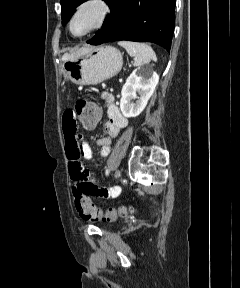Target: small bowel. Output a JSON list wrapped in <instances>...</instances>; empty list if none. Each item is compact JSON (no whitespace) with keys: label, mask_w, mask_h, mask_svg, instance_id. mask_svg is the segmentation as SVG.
Segmentation results:
<instances>
[{"label":"small bowel","mask_w":240,"mask_h":288,"mask_svg":"<svg viewBox=\"0 0 240 288\" xmlns=\"http://www.w3.org/2000/svg\"><path fill=\"white\" fill-rule=\"evenodd\" d=\"M102 98L105 101V108L108 120L105 124L106 136L96 141L100 147L102 156H107L110 152L112 140L127 127L128 119L120 112L115 98L111 93H103ZM62 129L65 139V149L68 159L70 178L74 187L87 195L102 198H115L120 192L119 186L110 188L96 185L95 179L91 173L86 170L81 163V156L91 160L93 152L88 143L81 140L77 130L76 113L68 109L62 116Z\"/></svg>","instance_id":"obj_1"}]
</instances>
